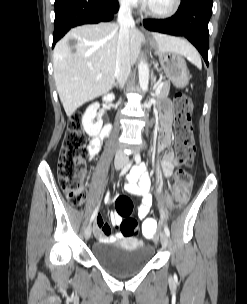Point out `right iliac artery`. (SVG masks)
Masks as SVG:
<instances>
[{"label":"right iliac artery","mask_w":247,"mask_h":304,"mask_svg":"<svg viewBox=\"0 0 247 304\" xmlns=\"http://www.w3.org/2000/svg\"><path fill=\"white\" fill-rule=\"evenodd\" d=\"M131 165H132V161H130L128 164H126L125 167L122 169L120 176H123L124 174H126L128 172V170L130 169ZM128 177H129V175H128ZM97 212H98V207L94 210L93 214L91 215L90 223H92L94 221V219L96 218Z\"/></svg>","instance_id":"right-iliac-artery-1"}]
</instances>
